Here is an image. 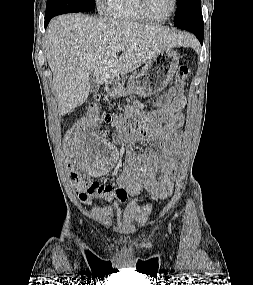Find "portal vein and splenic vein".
Returning <instances> with one entry per match:
<instances>
[{
	"label": "portal vein and splenic vein",
	"instance_id": "1",
	"mask_svg": "<svg viewBox=\"0 0 253 285\" xmlns=\"http://www.w3.org/2000/svg\"><path fill=\"white\" fill-rule=\"evenodd\" d=\"M117 49H118V50H122V49H123V47L119 46Z\"/></svg>",
	"mask_w": 253,
	"mask_h": 285
}]
</instances>
